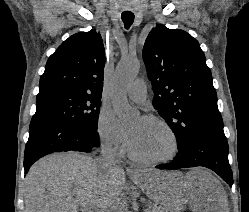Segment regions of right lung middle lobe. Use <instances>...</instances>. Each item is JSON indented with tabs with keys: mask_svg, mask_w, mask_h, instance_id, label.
<instances>
[{
	"mask_svg": "<svg viewBox=\"0 0 249 212\" xmlns=\"http://www.w3.org/2000/svg\"><path fill=\"white\" fill-rule=\"evenodd\" d=\"M30 129L41 124L66 123L97 130L101 96L85 93L52 92L38 95Z\"/></svg>",
	"mask_w": 249,
	"mask_h": 212,
	"instance_id": "1",
	"label": "right lung middle lobe"
}]
</instances>
